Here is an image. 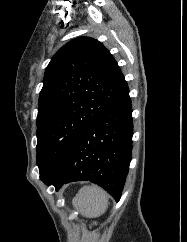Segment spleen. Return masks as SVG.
<instances>
[{"label":"spleen","instance_id":"obj_1","mask_svg":"<svg viewBox=\"0 0 187 242\" xmlns=\"http://www.w3.org/2000/svg\"><path fill=\"white\" fill-rule=\"evenodd\" d=\"M109 195L96 185L82 187L72 203L79 213L88 218L99 217L108 207Z\"/></svg>","mask_w":187,"mask_h":242}]
</instances>
